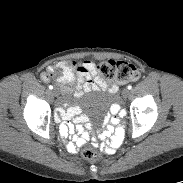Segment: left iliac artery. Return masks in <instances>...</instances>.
I'll return each mask as SVG.
<instances>
[{
  "label": "left iliac artery",
  "mask_w": 183,
  "mask_h": 183,
  "mask_svg": "<svg viewBox=\"0 0 183 183\" xmlns=\"http://www.w3.org/2000/svg\"><path fill=\"white\" fill-rule=\"evenodd\" d=\"M129 90H131L132 89V86L131 85H128V87H127Z\"/></svg>",
  "instance_id": "44dca946"
}]
</instances>
